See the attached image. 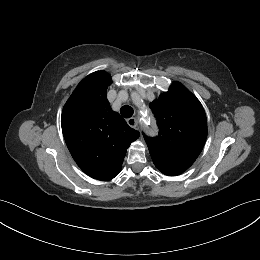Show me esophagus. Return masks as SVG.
Instances as JSON below:
<instances>
[{"label": "esophagus", "mask_w": 260, "mask_h": 260, "mask_svg": "<svg viewBox=\"0 0 260 260\" xmlns=\"http://www.w3.org/2000/svg\"><path fill=\"white\" fill-rule=\"evenodd\" d=\"M126 121H127L128 125L130 127L137 128V126H138V120L137 119H135V118H128Z\"/></svg>", "instance_id": "obj_1"}]
</instances>
